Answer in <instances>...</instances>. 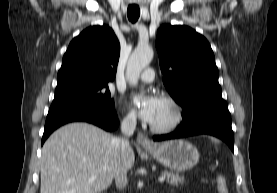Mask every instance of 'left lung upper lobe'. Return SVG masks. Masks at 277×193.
<instances>
[{"label": "left lung upper lobe", "instance_id": "1", "mask_svg": "<svg viewBox=\"0 0 277 193\" xmlns=\"http://www.w3.org/2000/svg\"><path fill=\"white\" fill-rule=\"evenodd\" d=\"M156 48L165 87L183 114L203 100L222 98L214 53L202 35L187 26L163 25Z\"/></svg>", "mask_w": 277, "mask_h": 193}]
</instances>
